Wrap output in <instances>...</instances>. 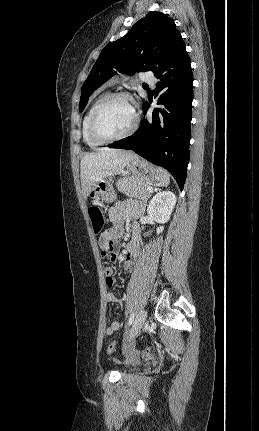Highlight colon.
Returning <instances> with one entry per match:
<instances>
[{"mask_svg":"<svg viewBox=\"0 0 259 431\" xmlns=\"http://www.w3.org/2000/svg\"><path fill=\"white\" fill-rule=\"evenodd\" d=\"M88 214L91 220V224L94 230V233L99 238V244L102 250L103 257L111 262H114L117 259V251L114 246L113 240L109 239L106 236V231L104 229V215L101 209L97 206H91L88 209ZM108 354L115 359H118L116 354V344L114 341H110L107 348ZM153 354V350L148 348L144 351L143 357L147 358Z\"/></svg>","mask_w":259,"mask_h":431,"instance_id":"obj_1","label":"colon"}]
</instances>
